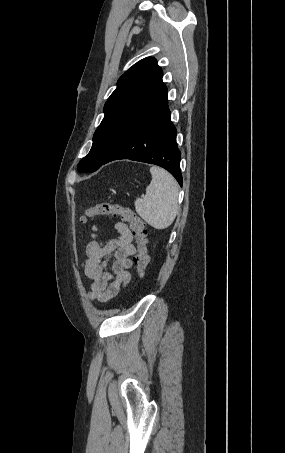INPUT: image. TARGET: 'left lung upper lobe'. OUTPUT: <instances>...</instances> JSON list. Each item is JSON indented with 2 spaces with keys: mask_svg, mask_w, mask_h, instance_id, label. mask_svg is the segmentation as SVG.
I'll use <instances>...</instances> for the list:
<instances>
[{
  "mask_svg": "<svg viewBox=\"0 0 285 453\" xmlns=\"http://www.w3.org/2000/svg\"><path fill=\"white\" fill-rule=\"evenodd\" d=\"M162 76L156 59L147 57L120 77L104 106L105 116L94 133L92 148L78 164L79 172H94L103 165L125 130L164 88Z\"/></svg>",
  "mask_w": 285,
  "mask_h": 453,
  "instance_id": "left-lung-upper-lobe-1",
  "label": "left lung upper lobe"
}]
</instances>
